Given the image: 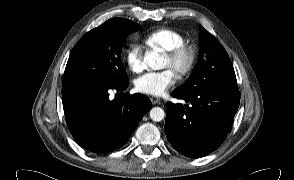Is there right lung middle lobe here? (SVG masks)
<instances>
[{
    "instance_id": "right-lung-middle-lobe-1",
    "label": "right lung middle lobe",
    "mask_w": 294,
    "mask_h": 180,
    "mask_svg": "<svg viewBox=\"0 0 294 180\" xmlns=\"http://www.w3.org/2000/svg\"><path fill=\"white\" fill-rule=\"evenodd\" d=\"M139 28L132 21L109 20L86 33L72 49L62 87L80 83L116 87L128 83L121 50L126 37Z\"/></svg>"
}]
</instances>
